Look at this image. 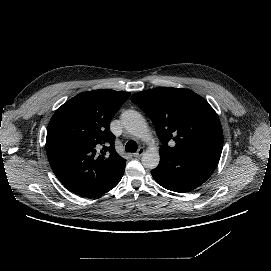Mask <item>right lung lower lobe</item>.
<instances>
[{
    "mask_svg": "<svg viewBox=\"0 0 271 271\" xmlns=\"http://www.w3.org/2000/svg\"><path fill=\"white\" fill-rule=\"evenodd\" d=\"M121 178H122V177H121ZM121 178L119 179V181L121 180ZM119 181H118L117 183H115V185H114L112 188H114V187L119 183ZM112 188L108 189V190L105 191L104 193L108 192V191L111 190ZM104 193H102V194H104ZM100 195H101V194H100Z\"/></svg>",
    "mask_w": 271,
    "mask_h": 271,
    "instance_id": "98d812e1",
    "label": "right lung lower lobe"
}]
</instances>
